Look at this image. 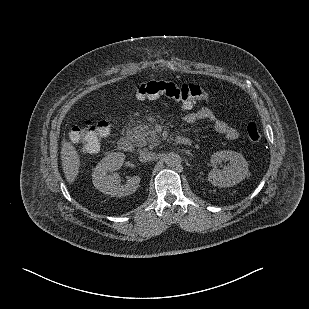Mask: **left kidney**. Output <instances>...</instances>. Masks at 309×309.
Listing matches in <instances>:
<instances>
[{
    "instance_id": "left-kidney-1",
    "label": "left kidney",
    "mask_w": 309,
    "mask_h": 309,
    "mask_svg": "<svg viewBox=\"0 0 309 309\" xmlns=\"http://www.w3.org/2000/svg\"><path fill=\"white\" fill-rule=\"evenodd\" d=\"M222 170L214 168L208 173L209 182L216 187H232L249 174L248 163L241 153L224 150L212 155L213 165L226 163Z\"/></svg>"
}]
</instances>
